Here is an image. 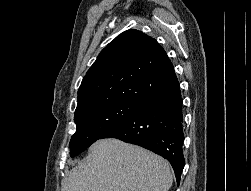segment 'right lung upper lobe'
Wrapping results in <instances>:
<instances>
[{
  "mask_svg": "<svg viewBox=\"0 0 251 191\" xmlns=\"http://www.w3.org/2000/svg\"><path fill=\"white\" fill-rule=\"evenodd\" d=\"M177 80L160 44L130 29L110 42L87 71L78 90L76 111L113 101L141 105Z\"/></svg>",
  "mask_w": 251,
  "mask_h": 191,
  "instance_id": "1",
  "label": "right lung upper lobe"
}]
</instances>
